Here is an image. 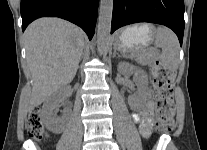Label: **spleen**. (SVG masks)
<instances>
[{"label":"spleen","instance_id":"obj_1","mask_svg":"<svg viewBox=\"0 0 207 150\" xmlns=\"http://www.w3.org/2000/svg\"><path fill=\"white\" fill-rule=\"evenodd\" d=\"M155 46L161 48L159 56L162 67L169 71L178 68L179 41L175 33L166 27H158L156 30Z\"/></svg>","mask_w":207,"mask_h":150}]
</instances>
